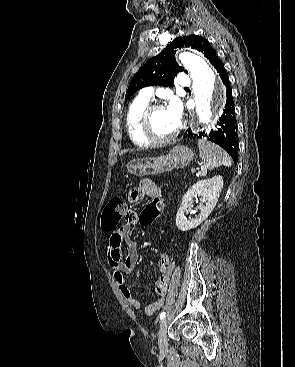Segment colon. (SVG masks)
I'll return each instance as SVG.
<instances>
[{
	"label": "colon",
	"mask_w": 295,
	"mask_h": 367,
	"mask_svg": "<svg viewBox=\"0 0 295 367\" xmlns=\"http://www.w3.org/2000/svg\"><path fill=\"white\" fill-rule=\"evenodd\" d=\"M151 202L146 206V209L141 214V223L149 225L156 221L158 213L166 211L164 204L168 199L164 195H153L149 198ZM127 208L125 202L120 197H113L105 206L101 226L105 231L114 230L119 224L122 217L126 214Z\"/></svg>",
	"instance_id": "5ec220e1"
}]
</instances>
